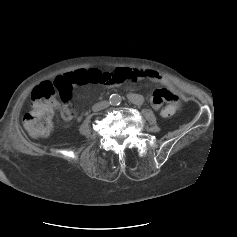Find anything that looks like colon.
<instances>
[{
    "label": "colon",
    "mask_w": 237,
    "mask_h": 237,
    "mask_svg": "<svg viewBox=\"0 0 237 237\" xmlns=\"http://www.w3.org/2000/svg\"><path fill=\"white\" fill-rule=\"evenodd\" d=\"M111 72L100 70H78L73 73L57 77L52 82L40 84L32 92L31 110L24 116L23 124L33 137L47 136L53 127L54 106L56 97H59L69 112L74 108L69 103L74 86H82L89 83H105L111 79ZM176 105H167L160 111L163 118L175 114Z\"/></svg>",
    "instance_id": "colon-1"
}]
</instances>
